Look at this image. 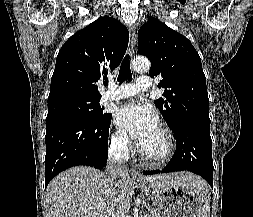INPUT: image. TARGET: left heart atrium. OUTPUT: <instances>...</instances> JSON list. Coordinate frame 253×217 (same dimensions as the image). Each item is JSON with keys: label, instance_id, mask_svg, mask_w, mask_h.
Returning a JSON list of instances; mask_svg holds the SVG:
<instances>
[{"label": "left heart atrium", "instance_id": "39dd6f15", "mask_svg": "<svg viewBox=\"0 0 253 217\" xmlns=\"http://www.w3.org/2000/svg\"><path fill=\"white\" fill-rule=\"evenodd\" d=\"M117 126L134 138L138 145L143 143L157 128L158 117L146 105L128 103L116 113Z\"/></svg>", "mask_w": 253, "mask_h": 217}]
</instances>
